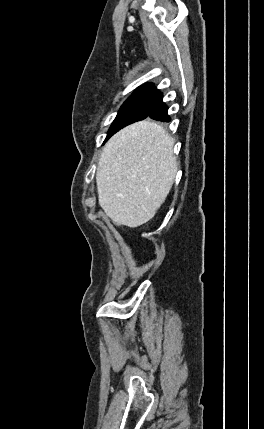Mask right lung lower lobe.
Returning a JSON list of instances; mask_svg holds the SVG:
<instances>
[{"mask_svg":"<svg viewBox=\"0 0 264 429\" xmlns=\"http://www.w3.org/2000/svg\"><path fill=\"white\" fill-rule=\"evenodd\" d=\"M167 106L162 102V95L158 99V101L154 104L152 109L150 110L147 117H150L152 119L163 121V122H169L170 118L167 115Z\"/></svg>","mask_w":264,"mask_h":429,"instance_id":"right-lung-lower-lobe-1","label":"right lung lower lobe"}]
</instances>
